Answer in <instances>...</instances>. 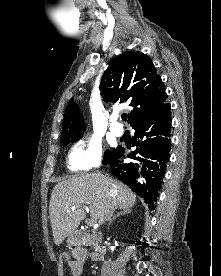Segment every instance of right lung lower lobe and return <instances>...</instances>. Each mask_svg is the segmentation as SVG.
Here are the masks:
<instances>
[{"instance_id":"98d812e1","label":"right lung lower lobe","mask_w":221,"mask_h":276,"mask_svg":"<svg viewBox=\"0 0 221 276\" xmlns=\"http://www.w3.org/2000/svg\"><path fill=\"white\" fill-rule=\"evenodd\" d=\"M135 129L133 146L137 148L127 157L133 162L123 163L125 149L117 147L105 163L110 171L144 198L150 208L155 207L158 191L165 175L171 146L170 105L166 103L158 112L131 124Z\"/></svg>"}]
</instances>
